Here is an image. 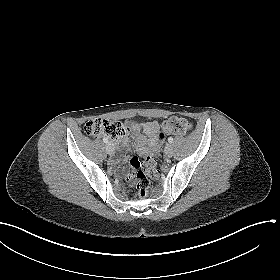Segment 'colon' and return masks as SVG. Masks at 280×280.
<instances>
[{
    "instance_id": "obj_1",
    "label": "colon",
    "mask_w": 280,
    "mask_h": 280,
    "mask_svg": "<svg viewBox=\"0 0 280 280\" xmlns=\"http://www.w3.org/2000/svg\"><path fill=\"white\" fill-rule=\"evenodd\" d=\"M191 124L182 117H170L162 124V132L184 135L188 133ZM84 131L92 137L108 136L116 138L122 135L123 126L120 122L111 121L103 118H95L88 121L84 126ZM131 170L127 179L133 182L140 198H145L148 194L149 177L157 176L155 159L150 155L142 157L141 161L133 158L131 160Z\"/></svg>"
}]
</instances>
